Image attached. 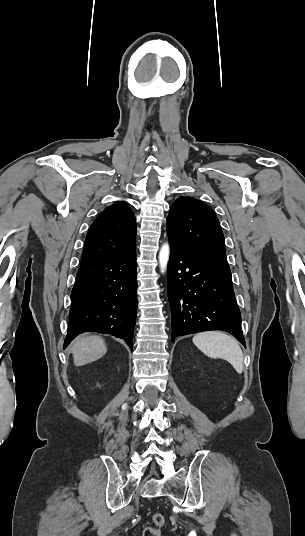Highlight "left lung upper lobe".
<instances>
[{"mask_svg":"<svg viewBox=\"0 0 305 536\" xmlns=\"http://www.w3.org/2000/svg\"><path fill=\"white\" fill-rule=\"evenodd\" d=\"M169 242L186 253L227 263L224 235L213 210L193 197H180L167 217Z\"/></svg>","mask_w":305,"mask_h":536,"instance_id":"1","label":"left lung upper lobe"}]
</instances>
